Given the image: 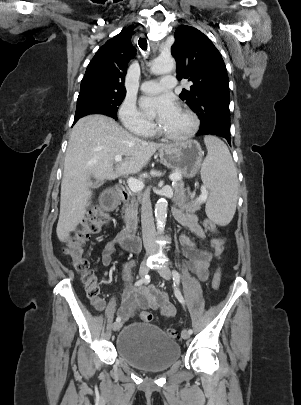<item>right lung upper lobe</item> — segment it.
Here are the masks:
<instances>
[{"label":"right lung upper lobe","mask_w":301,"mask_h":405,"mask_svg":"<svg viewBox=\"0 0 301 405\" xmlns=\"http://www.w3.org/2000/svg\"><path fill=\"white\" fill-rule=\"evenodd\" d=\"M133 33L131 29H124L99 48L81 81L80 94H126L124 78L127 63L136 54V49L130 41Z\"/></svg>","instance_id":"1"}]
</instances>
